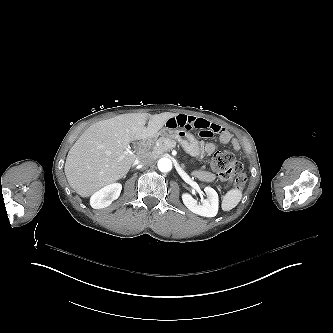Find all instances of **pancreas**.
<instances>
[{"instance_id": "pancreas-1", "label": "pancreas", "mask_w": 333, "mask_h": 333, "mask_svg": "<svg viewBox=\"0 0 333 333\" xmlns=\"http://www.w3.org/2000/svg\"><path fill=\"white\" fill-rule=\"evenodd\" d=\"M176 145V141L170 137H160L156 140L154 145L151 146L149 155L158 156L167 151L172 150Z\"/></svg>"}]
</instances>
